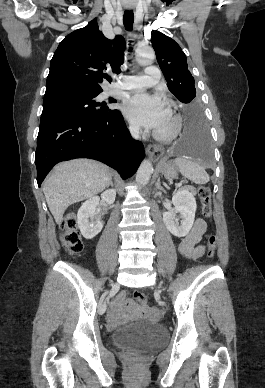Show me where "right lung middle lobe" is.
I'll use <instances>...</instances> for the list:
<instances>
[{"label": "right lung middle lobe", "instance_id": "right-lung-middle-lobe-1", "mask_svg": "<svg viewBox=\"0 0 265 388\" xmlns=\"http://www.w3.org/2000/svg\"><path fill=\"white\" fill-rule=\"evenodd\" d=\"M98 93H62L44 97L41 121L59 116H97L105 117L113 111L105 103L95 102ZM114 103L113 99H109Z\"/></svg>", "mask_w": 265, "mask_h": 388}]
</instances>
